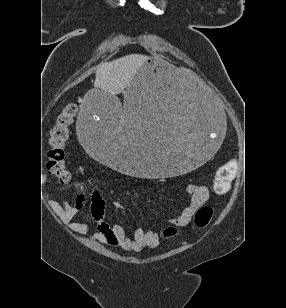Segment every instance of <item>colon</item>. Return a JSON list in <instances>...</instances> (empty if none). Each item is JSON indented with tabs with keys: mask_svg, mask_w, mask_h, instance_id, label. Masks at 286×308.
Here are the masks:
<instances>
[{
	"mask_svg": "<svg viewBox=\"0 0 286 308\" xmlns=\"http://www.w3.org/2000/svg\"><path fill=\"white\" fill-rule=\"evenodd\" d=\"M78 109L75 103L66 104L53 127L50 130L49 150L47 151V167L54 178L61 184H68L71 180V173L65 161V147L69 140L70 127L73 123ZM238 163L232 159L224 163L217 171L213 189L221 194L229 190L231 182L237 173ZM213 215L212 208L202 206L198 209L194 217V228L204 229L210 222ZM176 229L168 227L164 231L165 237H172L176 234Z\"/></svg>",
	"mask_w": 286,
	"mask_h": 308,
	"instance_id": "colon-1",
	"label": "colon"
}]
</instances>
